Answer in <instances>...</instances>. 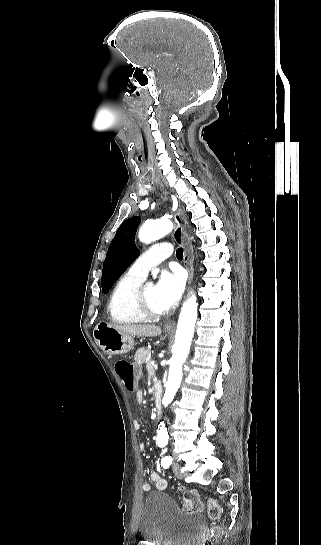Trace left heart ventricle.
<instances>
[{"mask_svg":"<svg viewBox=\"0 0 321 545\" xmlns=\"http://www.w3.org/2000/svg\"><path fill=\"white\" fill-rule=\"evenodd\" d=\"M142 299L145 306L155 312H162L156 302L155 287L147 285L142 292Z\"/></svg>","mask_w":321,"mask_h":545,"instance_id":"obj_1","label":"left heart ventricle"}]
</instances>
